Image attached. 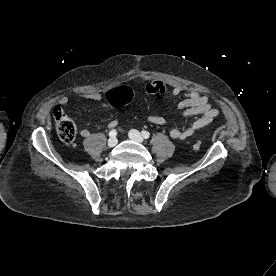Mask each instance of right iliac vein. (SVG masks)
Listing matches in <instances>:
<instances>
[{
  "label": "right iliac vein",
  "mask_w": 276,
  "mask_h": 276,
  "mask_svg": "<svg viewBox=\"0 0 276 276\" xmlns=\"http://www.w3.org/2000/svg\"><path fill=\"white\" fill-rule=\"evenodd\" d=\"M117 142H118V140H117L116 137L109 138V140H108V147H110V148L115 147L116 144H117Z\"/></svg>",
  "instance_id": "right-iliac-vein-1"
}]
</instances>
